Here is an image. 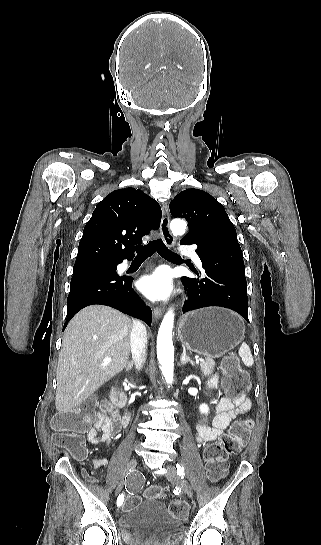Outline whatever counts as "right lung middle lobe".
Returning a JSON list of instances; mask_svg holds the SVG:
<instances>
[{
	"label": "right lung middle lobe",
	"instance_id": "obj_1",
	"mask_svg": "<svg viewBox=\"0 0 321 545\" xmlns=\"http://www.w3.org/2000/svg\"><path fill=\"white\" fill-rule=\"evenodd\" d=\"M106 267L116 268L117 265H104Z\"/></svg>",
	"mask_w": 321,
	"mask_h": 545
}]
</instances>
